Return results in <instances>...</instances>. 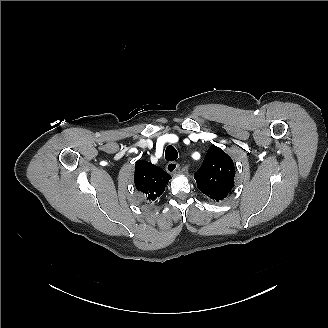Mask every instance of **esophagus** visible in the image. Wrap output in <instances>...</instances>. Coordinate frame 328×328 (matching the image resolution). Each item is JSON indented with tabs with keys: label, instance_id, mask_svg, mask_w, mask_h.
Instances as JSON below:
<instances>
[{
	"label": "esophagus",
	"instance_id": "1",
	"mask_svg": "<svg viewBox=\"0 0 328 328\" xmlns=\"http://www.w3.org/2000/svg\"><path fill=\"white\" fill-rule=\"evenodd\" d=\"M179 164L175 161H171L166 165V171L170 174H173L178 169Z\"/></svg>",
	"mask_w": 328,
	"mask_h": 328
}]
</instances>
